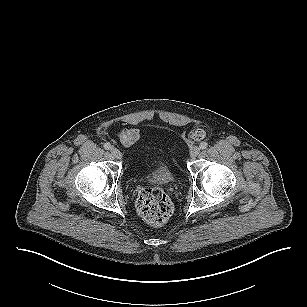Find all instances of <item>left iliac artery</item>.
<instances>
[{"label": "left iliac artery", "instance_id": "left-iliac-artery-1", "mask_svg": "<svg viewBox=\"0 0 307 307\" xmlns=\"http://www.w3.org/2000/svg\"><path fill=\"white\" fill-rule=\"evenodd\" d=\"M199 147H200V149H206L208 147V143L207 142H201Z\"/></svg>", "mask_w": 307, "mask_h": 307}]
</instances>
